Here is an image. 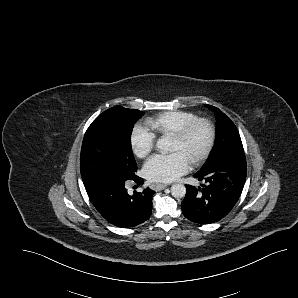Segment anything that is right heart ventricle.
<instances>
[{"instance_id": "right-heart-ventricle-1", "label": "right heart ventricle", "mask_w": 298, "mask_h": 298, "mask_svg": "<svg viewBox=\"0 0 298 298\" xmlns=\"http://www.w3.org/2000/svg\"><path fill=\"white\" fill-rule=\"evenodd\" d=\"M197 114L190 111L173 110L162 112L145 119V124L158 136L163 137L178 126L197 119Z\"/></svg>"}]
</instances>
